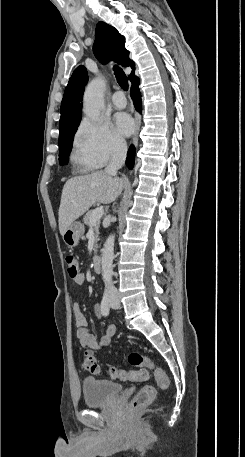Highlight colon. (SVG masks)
<instances>
[{
    "instance_id": "colon-1",
    "label": "colon",
    "mask_w": 245,
    "mask_h": 457,
    "mask_svg": "<svg viewBox=\"0 0 245 457\" xmlns=\"http://www.w3.org/2000/svg\"><path fill=\"white\" fill-rule=\"evenodd\" d=\"M68 274L74 278L79 273L77 259L73 255L66 257ZM129 363L134 366L135 370L126 371L122 369L111 368L110 374L118 379L127 381H145L148 379L149 371H152L157 384L160 388H166L169 380L166 373L157 366L151 359L138 353H132L129 356ZM82 367L91 375H100L101 369L97 363L96 357L91 350H86L82 354ZM156 395V389L151 385L143 386L131 399L129 406L132 410H137L149 404Z\"/></svg>"
}]
</instances>
